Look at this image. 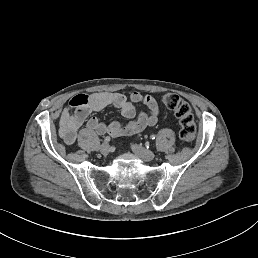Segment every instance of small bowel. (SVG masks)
Returning a JSON list of instances; mask_svg holds the SVG:
<instances>
[{
	"label": "small bowel",
	"instance_id": "c3829d8e",
	"mask_svg": "<svg viewBox=\"0 0 258 258\" xmlns=\"http://www.w3.org/2000/svg\"><path fill=\"white\" fill-rule=\"evenodd\" d=\"M144 104L148 112H137L136 104ZM118 109L121 115L128 121L120 123L100 122L91 113L101 111L106 107ZM160 108L156 99L149 95L133 92L127 97L116 92H95L90 95L77 94L73 96L67 108L59 118V132L67 145L75 143L78 133L85 125V131L97 135L108 134L112 137L127 136L139 133L147 127L154 126L159 119Z\"/></svg>",
	"mask_w": 258,
	"mask_h": 258
}]
</instances>
